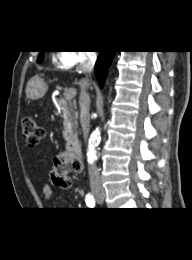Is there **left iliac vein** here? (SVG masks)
Wrapping results in <instances>:
<instances>
[{
  "mask_svg": "<svg viewBox=\"0 0 192 260\" xmlns=\"http://www.w3.org/2000/svg\"><path fill=\"white\" fill-rule=\"evenodd\" d=\"M96 200H97L98 204H102L104 198L103 197H97Z\"/></svg>",
  "mask_w": 192,
  "mask_h": 260,
  "instance_id": "1",
  "label": "left iliac vein"
}]
</instances>
